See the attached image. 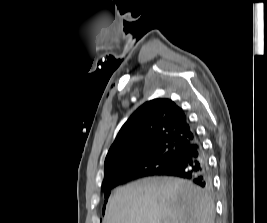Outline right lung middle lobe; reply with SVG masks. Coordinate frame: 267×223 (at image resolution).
Here are the masks:
<instances>
[{"mask_svg": "<svg viewBox=\"0 0 267 223\" xmlns=\"http://www.w3.org/2000/svg\"><path fill=\"white\" fill-rule=\"evenodd\" d=\"M182 152L183 150L175 145L161 146L155 149V152L145 159L133 162L130 167L135 171L146 172L153 175L168 168L180 157ZM104 195L106 203L110 192H107Z\"/></svg>", "mask_w": 267, "mask_h": 223, "instance_id": "1", "label": "right lung middle lobe"}]
</instances>
